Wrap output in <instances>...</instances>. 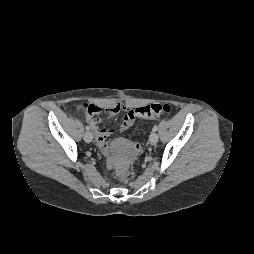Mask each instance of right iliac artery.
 <instances>
[{
  "label": "right iliac artery",
  "instance_id": "obj_1",
  "mask_svg": "<svg viewBox=\"0 0 254 254\" xmlns=\"http://www.w3.org/2000/svg\"><path fill=\"white\" fill-rule=\"evenodd\" d=\"M86 130L89 131V130H90V127H89V126H86Z\"/></svg>",
  "mask_w": 254,
  "mask_h": 254
}]
</instances>
